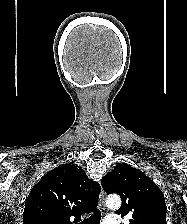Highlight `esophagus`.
Wrapping results in <instances>:
<instances>
[{
	"label": "esophagus",
	"instance_id": "1",
	"mask_svg": "<svg viewBox=\"0 0 187 224\" xmlns=\"http://www.w3.org/2000/svg\"><path fill=\"white\" fill-rule=\"evenodd\" d=\"M99 207L101 210L105 211V192L103 188L101 187L100 196H99Z\"/></svg>",
	"mask_w": 187,
	"mask_h": 224
}]
</instances>
